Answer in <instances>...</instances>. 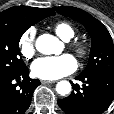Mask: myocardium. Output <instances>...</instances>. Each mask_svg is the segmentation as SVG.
I'll return each mask as SVG.
<instances>
[{"mask_svg":"<svg viewBox=\"0 0 114 114\" xmlns=\"http://www.w3.org/2000/svg\"><path fill=\"white\" fill-rule=\"evenodd\" d=\"M75 53L80 58H85L89 53V46L85 41H76L73 44Z\"/></svg>","mask_w":114,"mask_h":114,"instance_id":"myocardium-1","label":"myocardium"}]
</instances>
